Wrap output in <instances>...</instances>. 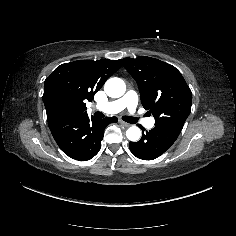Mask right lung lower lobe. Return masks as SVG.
I'll return each instance as SVG.
<instances>
[{
    "label": "right lung lower lobe",
    "instance_id": "right-lung-lower-lobe-1",
    "mask_svg": "<svg viewBox=\"0 0 236 236\" xmlns=\"http://www.w3.org/2000/svg\"><path fill=\"white\" fill-rule=\"evenodd\" d=\"M117 121L116 117L89 119L88 115H80L48 125L56 143L67 156L86 161L100 150L105 127Z\"/></svg>",
    "mask_w": 236,
    "mask_h": 236
}]
</instances>
